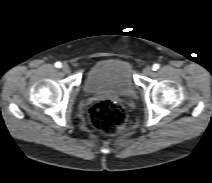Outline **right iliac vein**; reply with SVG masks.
<instances>
[{
    "mask_svg": "<svg viewBox=\"0 0 212 183\" xmlns=\"http://www.w3.org/2000/svg\"><path fill=\"white\" fill-rule=\"evenodd\" d=\"M62 71L65 73V74H69L71 72V69L68 65H63L62 66Z\"/></svg>",
    "mask_w": 212,
    "mask_h": 183,
    "instance_id": "1",
    "label": "right iliac vein"
}]
</instances>
